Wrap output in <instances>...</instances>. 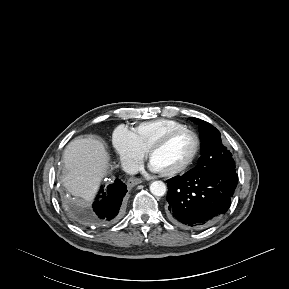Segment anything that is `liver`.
<instances>
[{
	"label": "liver",
	"mask_w": 289,
	"mask_h": 289,
	"mask_svg": "<svg viewBox=\"0 0 289 289\" xmlns=\"http://www.w3.org/2000/svg\"><path fill=\"white\" fill-rule=\"evenodd\" d=\"M108 160L105 146L99 140L92 137L74 139L64 151V186L72 195L91 202L107 173Z\"/></svg>",
	"instance_id": "liver-1"
}]
</instances>
